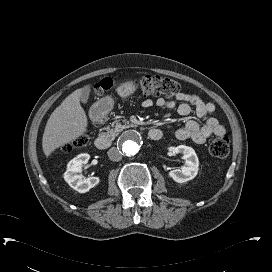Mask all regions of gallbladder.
Listing matches in <instances>:
<instances>
[{"instance_id":"bac80fb5","label":"gallbladder","mask_w":272,"mask_h":272,"mask_svg":"<svg viewBox=\"0 0 272 272\" xmlns=\"http://www.w3.org/2000/svg\"><path fill=\"white\" fill-rule=\"evenodd\" d=\"M90 85H86L83 87L82 89V94H81V98L80 100L83 102V103H86L89 99V95H90Z\"/></svg>"}]
</instances>
